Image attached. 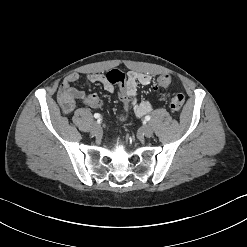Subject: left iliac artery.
Segmentation results:
<instances>
[{
	"mask_svg": "<svg viewBox=\"0 0 247 247\" xmlns=\"http://www.w3.org/2000/svg\"><path fill=\"white\" fill-rule=\"evenodd\" d=\"M151 119V116H149V115H147L146 117H145V120L146 121H149Z\"/></svg>",
	"mask_w": 247,
	"mask_h": 247,
	"instance_id": "left-iliac-artery-1",
	"label": "left iliac artery"
}]
</instances>
